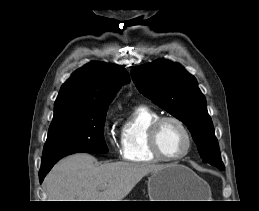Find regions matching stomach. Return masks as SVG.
Returning <instances> with one entry per match:
<instances>
[{"label":"stomach","instance_id":"obj_1","mask_svg":"<svg viewBox=\"0 0 259 211\" xmlns=\"http://www.w3.org/2000/svg\"><path fill=\"white\" fill-rule=\"evenodd\" d=\"M148 194L150 201H203L209 186L190 168L169 164L150 174Z\"/></svg>","mask_w":259,"mask_h":211}]
</instances>
